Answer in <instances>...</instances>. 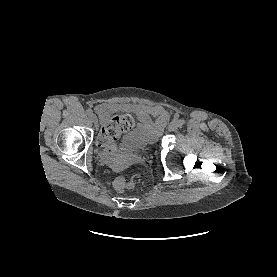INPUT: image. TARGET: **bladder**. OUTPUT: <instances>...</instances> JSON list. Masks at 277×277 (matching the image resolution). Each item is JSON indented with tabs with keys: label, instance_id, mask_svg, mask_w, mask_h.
I'll list each match as a JSON object with an SVG mask.
<instances>
[{
	"label": "bladder",
	"instance_id": "31cf9c89",
	"mask_svg": "<svg viewBox=\"0 0 277 277\" xmlns=\"http://www.w3.org/2000/svg\"><path fill=\"white\" fill-rule=\"evenodd\" d=\"M159 138L157 127L147 120H141L121 139L115 150L124 152H142L153 146Z\"/></svg>",
	"mask_w": 277,
	"mask_h": 277
}]
</instances>
